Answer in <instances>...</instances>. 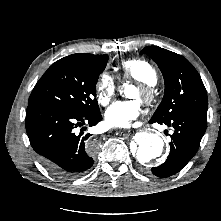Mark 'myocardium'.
Segmentation results:
<instances>
[{
	"mask_svg": "<svg viewBox=\"0 0 221 221\" xmlns=\"http://www.w3.org/2000/svg\"><path fill=\"white\" fill-rule=\"evenodd\" d=\"M137 90L139 93V98L146 104H149L154 101L155 98V90L151 85L146 83H138Z\"/></svg>",
	"mask_w": 221,
	"mask_h": 221,
	"instance_id": "myocardium-1",
	"label": "myocardium"
}]
</instances>
